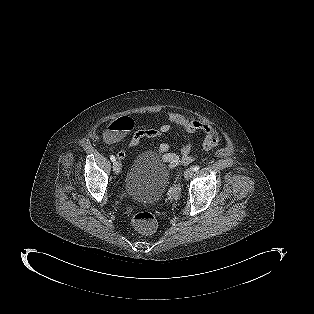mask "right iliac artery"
<instances>
[{
    "label": "right iliac artery",
    "mask_w": 314,
    "mask_h": 314,
    "mask_svg": "<svg viewBox=\"0 0 314 314\" xmlns=\"http://www.w3.org/2000/svg\"><path fill=\"white\" fill-rule=\"evenodd\" d=\"M110 160H111L112 162L116 161L115 156L111 155V156H110Z\"/></svg>",
    "instance_id": "82829eb1"
}]
</instances>
